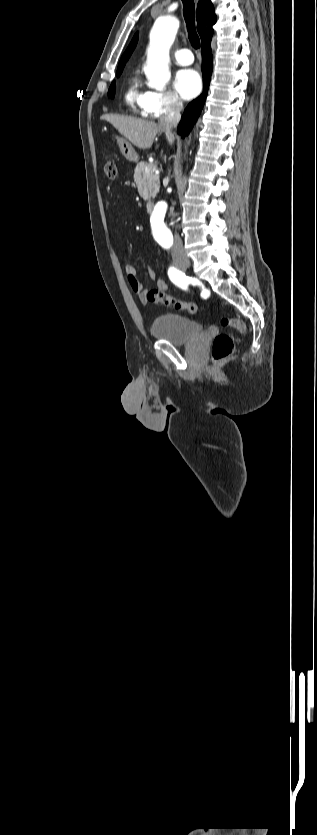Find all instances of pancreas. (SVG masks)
Masks as SVG:
<instances>
[{"instance_id":"1","label":"pancreas","mask_w":317,"mask_h":835,"mask_svg":"<svg viewBox=\"0 0 317 835\" xmlns=\"http://www.w3.org/2000/svg\"><path fill=\"white\" fill-rule=\"evenodd\" d=\"M152 164L141 162L134 170V180L136 182L139 195L144 200L154 198L160 189L159 176L154 174L153 170L145 172V168L151 167Z\"/></svg>"}]
</instances>
